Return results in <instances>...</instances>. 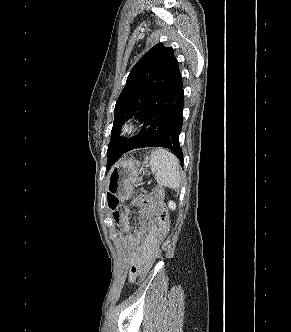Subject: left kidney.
Masks as SVG:
<instances>
[{"instance_id": "5707ae66", "label": "left kidney", "mask_w": 291, "mask_h": 332, "mask_svg": "<svg viewBox=\"0 0 291 332\" xmlns=\"http://www.w3.org/2000/svg\"><path fill=\"white\" fill-rule=\"evenodd\" d=\"M168 206L171 210H175L176 209V204L173 201H169Z\"/></svg>"}]
</instances>
